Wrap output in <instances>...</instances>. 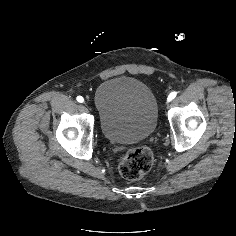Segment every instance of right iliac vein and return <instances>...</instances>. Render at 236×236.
<instances>
[{
    "label": "right iliac vein",
    "instance_id": "1",
    "mask_svg": "<svg viewBox=\"0 0 236 236\" xmlns=\"http://www.w3.org/2000/svg\"><path fill=\"white\" fill-rule=\"evenodd\" d=\"M83 106H84V108H86V110H88V111H89V110H91V112L94 111V108H93L91 105H89V103H87V102L84 103Z\"/></svg>",
    "mask_w": 236,
    "mask_h": 236
}]
</instances>
